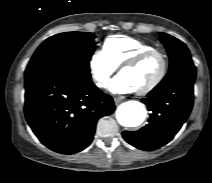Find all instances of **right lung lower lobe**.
<instances>
[{
  "label": "right lung lower lobe",
  "instance_id": "1",
  "mask_svg": "<svg viewBox=\"0 0 212 183\" xmlns=\"http://www.w3.org/2000/svg\"><path fill=\"white\" fill-rule=\"evenodd\" d=\"M111 96L101 92L89 72L68 69L25 71V116L49 149L77 153L93 140L97 120L111 114Z\"/></svg>",
  "mask_w": 212,
  "mask_h": 183
}]
</instances>
